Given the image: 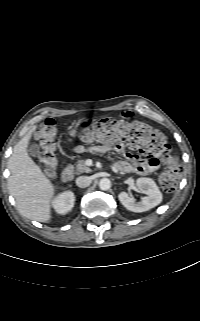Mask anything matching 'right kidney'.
Segmentation results:
<instances>
[{"label":"right kidney","mask_w":200,"mask_h":321,"mask_svg":"<svg viewBox=\"0 0 200 321\" xmlns=\"http://www.w3.org/2000/svg\"><path fill=\"white\" fill-rule=\"evenodd\" d=\"M75 202L74 193L71 191H66L59 194L52 202L53 208L59 214H66L69 212Z\"/></svg>","instance_id":"ca27d5eb"}]
</instances>
